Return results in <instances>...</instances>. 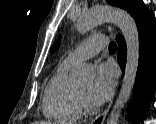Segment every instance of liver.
Listing matches in <instances>:
<instances>
[{"label":"liver","mask_w":156,"mask_h":124,"mask_svg":"<svg viewBox=\"0 0 156 124\" xmlns=\"http://www.w3.org/2000/svg\"><path fill=\"white\" fill-rule=\"evenodd\" d=\"M32 124H50L44 121H37V122H33Z\"/></svg>","instance_id":"1"}]
</instances>
